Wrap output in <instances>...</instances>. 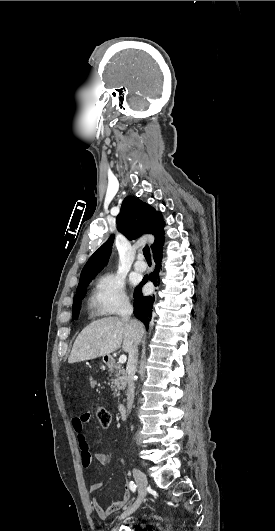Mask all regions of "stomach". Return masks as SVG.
<instances>
[{
    "label": "stomach",
    "instance_id": "1",
    "mask_svg": "<svg viewBox=\"0 0 275 531\" xmlns=\"http://www.w3.org/2000/svg\"><path fill=\"white\" fill-rule=\"evenodd\" d=\"M113 361V357L111 355H103V363H106V365H111Z\"/></svg>",
    "mask_w": 275,
    "mask_h": 531
}]
</instances>
